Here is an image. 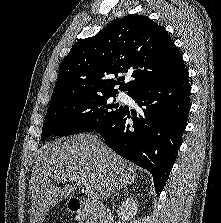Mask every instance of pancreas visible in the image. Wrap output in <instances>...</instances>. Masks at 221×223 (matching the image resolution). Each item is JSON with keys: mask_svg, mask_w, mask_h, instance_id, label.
I'll list each match as a JSON object with an SVG mask.
<instances>
[{"mask_svg": "<svg viewBox=\"0 0 221 223\" xmlns=\"http://www.w3.org/2000/svg\"><path fill=\"white\" fill-rule=\"evenodd\" d=\"M87 223H95V219L93 217H91L87 220Z\"/></svg>", "mask_w": 221, "mask_h": 223, "instance_id": "pancreas-1", "label": "pancreas"}]
</instances>
